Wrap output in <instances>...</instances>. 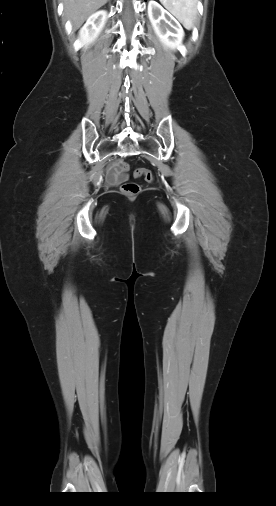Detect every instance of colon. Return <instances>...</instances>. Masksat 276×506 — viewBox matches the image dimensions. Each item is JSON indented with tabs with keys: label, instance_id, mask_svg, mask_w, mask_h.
I'll return each mask as SVG.
<instances>
[{
	"label": "colon",
	"instance_id": "colon-1",
	"mask_svg": "<svg viewBox=\"0 0 276 506\" xmlns=\"http://www.w3.org/2000/svg\"><path fill=\"white\" fill-rule=\"evenodd\" d=\"M116 169L120 172H127L129 170V164L122 162L115 165ZM135 177H143L147 182H152L154 179L153 173L145 168H139L134 173ZM121 191L129 196L134 197L139 194L140 186L134 182H126L121 186Z\"/></svg>",
	"mask_w": 276,
	"mask_h": 506
}]
</instances>
